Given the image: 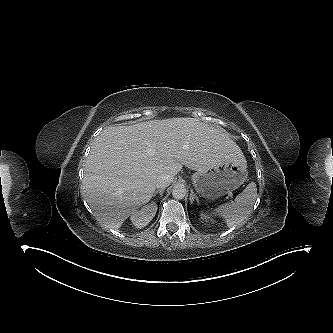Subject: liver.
Here are the masks:
<instances>
[{
  "label": "liver",
  "mask_w": 333,
  "mask_h": 333,
  "mask_svg": "<svg viewBox=\"0 0 333 333\" xmlns=\"http://www.w3.org/2000/svg\"><path fill=\"white\" fill-rule=\"evenodd\" d=\"M244 158L229 135L194 118L110 126L98 135L85 165L82 191L96 218L119 229L149 202L162 174L184 166L201 171Z\"/></svg>",
  "instance_id": "1"
}]
</instances>
